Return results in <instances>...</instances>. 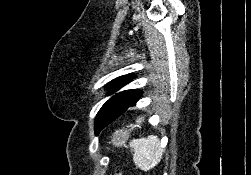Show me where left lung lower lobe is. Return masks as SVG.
I'll use <instances>...</instances> for the list:
<instances>
[{
    "label": "left lung lower lobe",
    "instance_id": "left-lung-lower-lobe-1",
    "mask_svg": "<svg viewBox=\"0 0 251 175\" xmlns=\"http://www.w3.org/2000/svg\"><path fill=\"white\" fill-rule=\"evenodd\" d=\"M141 95L142 92L140 90H136L129 102L123 105L113 103L108 106H105L98 112V117L102 119L105 124L108 125L125 114L133 113L134 111L130 110V107L136 105V102L139 100Z\"/></svg>",
    "mask_w": 251,
    "mask_h": 175
}]
</instances>
